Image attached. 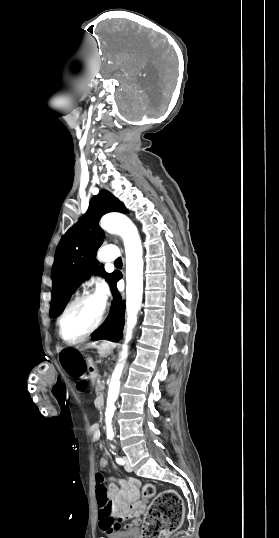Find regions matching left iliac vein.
I'll list each match as a JSON object with an SVG mask.
<instances>
[{
	"label": "left iliac vein",
	"instance_id": "left-iliac-vein-1",
	"mask_svg": "<svg viewBox=\"0 0 279 538\" xmlns=\"http://www.w3.org/2000/svg\"><path fill=\"white\" fill-rule=\"evenodd\" d=\"M124 461H125V466H124L125 470H126L127 472H131V471H132V468H131V466H130L129 459H128L127 457H124Z\"/></svg>",
	"mask_w": 279,
	"mask_h": 538
}]
</instances>
